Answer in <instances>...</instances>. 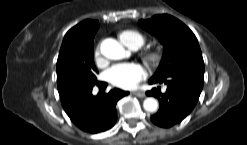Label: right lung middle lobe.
<instances>
[{
  "label": "right lung middle lobe",
  "instance_id": "dd1d6c3e",
  "mask_svg": "<svg viewBox=\"0 0 247 145\" xmlns=\"http://www.w3.org/2000/svg\"><path fill=\"white\" fill-rule=\"evenodd\" d=\"M97 73L93 60V45L72 39L63 41L57 60L59 94L78 86L96 84Z\"/></svg>",
  "mask_w": 247,
  "mask_h": 145
}]
</instances>
